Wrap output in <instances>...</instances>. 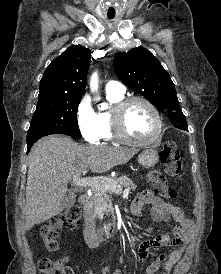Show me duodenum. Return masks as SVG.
Listing matches in <instances>:
<instances>
[{
	"instance_id": "1",
	"label": "duodenum",
	"mask_w": 221,
	"mask_h": 274,
	"mask_svg": "<svg viewBox=\"0 0 221 274\" xmlns=\"http://www.w3.org/2000/svg\"><path fill=\"white\" fill-rule=\"evenodd\" d=\"M78 201L85 208L84 237H85L86 243L90 247L97 246L104 238L112 237L117 233V225L112 218L109 219V221L104 225L102 229L95 232L93 227L94 216L88 210V205L90 203V196L88 194H82L80 195Z\"/></svg>"
}]
</instances>
